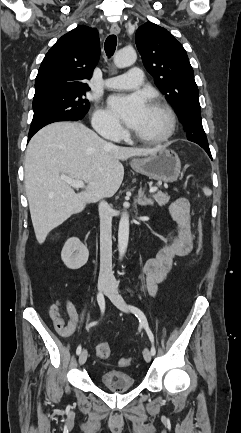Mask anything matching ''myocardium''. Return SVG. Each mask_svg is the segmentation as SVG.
Here are the masks:
<instances>
[{"label": "myocardium", "instance_id": "f54148a6", "mask_svg": "<svg viewBox=\"0 0 241 433\" xmlns=\"http://www.w3.org/2000/svg\"><path fill=\"white\" fill-rule=\"evenodd\" d=\"M152 107L158 108L166 113L169 119V126L167 131L157 137H149L142 135L138 132H134V135L137 139H139L142 142L148 143V144H162L168 141L175 133L176 127H177V117L174 112V110L171 108L170 105H168L166 102L161 100H154L151 105Z\"/></svg>", "mask_w": 241, "mask_h": 433}]
</instances>
